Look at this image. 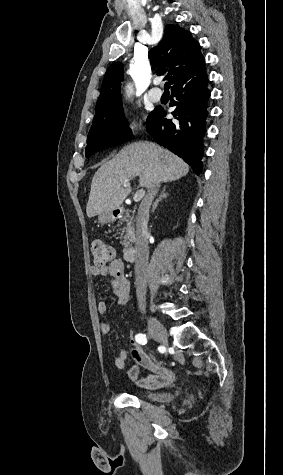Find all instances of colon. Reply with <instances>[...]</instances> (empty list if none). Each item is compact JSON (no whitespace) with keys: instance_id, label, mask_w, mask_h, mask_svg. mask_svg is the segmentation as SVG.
Instances as JSON below:
<instances>
[{"instance_id":"1","label":"colon","mask_w":283,"mask_h":475,"mask_svg":"<svg viewBox=\"0 0 283 475\" xmlns=\"http://www.w3.org/2000/svg\"><path fill=\"white\" fill-rule=\"evenodd\" d=\"M90 250L96 264H110L115 259V250L101 241L92 243Z\"/></svg>"}]
</instances>
